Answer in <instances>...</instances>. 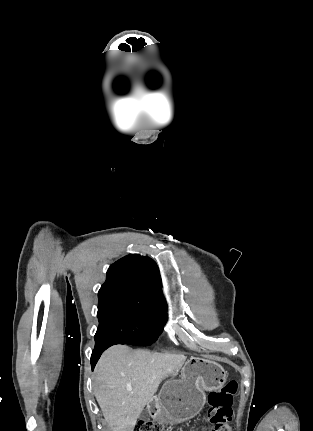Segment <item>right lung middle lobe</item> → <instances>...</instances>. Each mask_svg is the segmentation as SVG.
<instances>
[{
    "mask_svg": "<svg viewBox=\"0 0 313 431\" xmlns=\"http://www.w3.org/2000/svg\"><path fill=\"white\" fill-rule=\"evenodd\" d=\"M99 297L95 345L106 342L149 346L166 321V308L118 294Z\"/></svg>",
    "mask_w": 313,
    "mask_h": 431,
    "instance_id": "dd1d6c3e",
    "label": "right lung middle lobe"
}]
</instances>
